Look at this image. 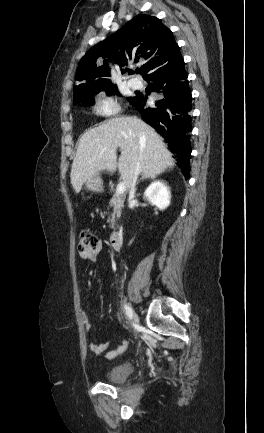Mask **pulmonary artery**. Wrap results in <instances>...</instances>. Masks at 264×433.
<instances>
[{"mask_svg": "<svg viewBox=\"0 0 264 433\" xmlns=\"http://www.w3.org/2000/svg\"><path fill=\"white\" fill-rule=\"evenodd\" d=\"M128 85L133 89H140L142 88V82L137 79H130L128 81Z\"/></svg>", "mask_w": 264, "mask_h": 433, "instance_id": "e3ab8cb5", "label": "pulmonary artery"}]
</instances>
